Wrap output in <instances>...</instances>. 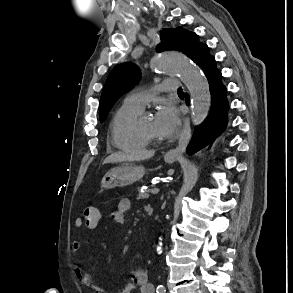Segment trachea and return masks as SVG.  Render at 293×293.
<instances>
[{"label": "trachea", "mask_w": 293, "mask_h": 293, "mask_svg": "<svg viewBox=\"0 0 293 293\" xmlns=\"http://www.w3.org/2000/svg\"><path fill=\"white\" fill-rule=\"evenodd\" d=\"M178 93H183L182 89H179V90H178Z\"/></svg>", "instance_id": "trachea-1"}]
</instances>
